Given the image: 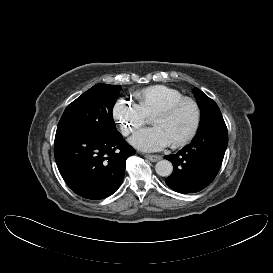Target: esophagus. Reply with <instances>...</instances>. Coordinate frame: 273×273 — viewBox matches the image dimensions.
Returning a JSON list of instances; mask_svg holds the SVG:
<instances>
[{"label": "esophagus", "instance_id": "obj_1", "mask_svg": "<svg viewBox=\"0 0 273 273\" xmlns=\"http://www.w3.org/2000/svg\"><path fill=\"white\" fill-rule=\"evenodd\" d=\"M145 157L151 162H157L162 158L160 155H149V154H146Z\"/></svg>", "mask_w": 273, "mask_h": 273}]
</instances>
